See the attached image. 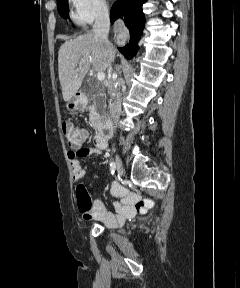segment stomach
Listing matches in <instances>:
<instances>
[{
	"label": "stomach",
	"mask_w": 240,
	"mask_h": 288,
	"mask_svg": "<svg viewBox=\"0 0 240 288\" xmlns=\"http://www.w3.org/2000/svg\"><path fill=\"white\" fill-rule=\"evenodd\" d=\"M83 104L77 96H74L70 101H68L66 107L69 111H74L81 108Z\"/></svg>",
	"instance_id": "0dacf381"
}]
</instances>
